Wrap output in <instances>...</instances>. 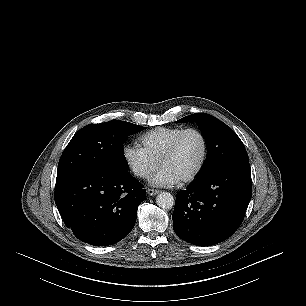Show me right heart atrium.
Masks as SVG:
<instances>
[{
	"mask_svg": "<svg viewBox=\"0 0 306 306\" xmlns=\"http://www.w3.org/2000/svg\"><path fill=\"white\" fill-rule=\"evenodd\" d=\"M123 158L131 173L139 179L148 178L158 168V161L138 144L126 145Z\"/></svg>",
	"mask_w": 306,
	"mask_h": 306,
	"instance_id": "obj_1",
	"label": "right heart atrium"
}]
</instances>
